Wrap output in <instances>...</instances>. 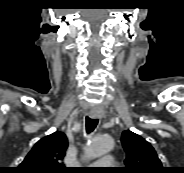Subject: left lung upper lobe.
<instances>
[{
  "label": "left lung upper lobe",
  "instance_id": "obj_1",
  "mask_svg": "<svg viewBox=\"0 0 184 173\" xmlns=\"http://www.w3.org/2000/svg\"><path fill=\"white\" fill-rule=\"evenodd\" d=\"M121 142L126 153V167L121 173L165 172L154 148L145 139L127 130L122 133Z\"/></svg>",
  "mask_w": 184,
  "mask_h": 173
}]
</instances>
